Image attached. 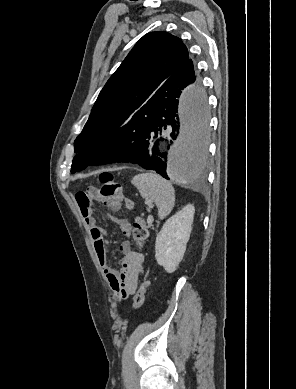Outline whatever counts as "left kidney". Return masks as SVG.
I'll return each instance as SVG.
<instances>
[{
  "label": "left kidney",
  "mask_w": 296,
  "mask_h": 389,
  "mask_svg": "<svg viewBox=\"0 0 296 389\" xmlns=\"http://www.w3.org/2000/svg\"><path fill=\"white\" fill-rule=\"evenodd\" d=\"M195 208L188 204L165 222L155 242V258L167 273H173L186 251Z\"/></svg>",
  "instance_id": "1"
}]
</instances>
